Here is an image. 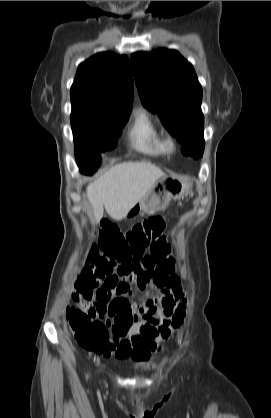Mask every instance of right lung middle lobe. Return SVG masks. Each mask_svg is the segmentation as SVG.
<instances>
[{
	"label": "right lung middle lobe",
	"mask_w": 271,
	"mask_h": 418,
	"mask_svg": "<svg viewBox=\"0 0 271 418\" xmlns=\"http://www.w3.org/2000/svg\"><path fill=\"white\" fill-rule=\"evenodd\" d=\"M129 114L102 113L83 107H72L71 125L75 155L80 171L93 174L100 165V152L117 145L118 137Z\"/></svg>",
	"instance_id": "obj_1"
}]
</instances>
